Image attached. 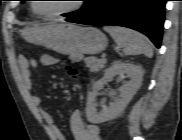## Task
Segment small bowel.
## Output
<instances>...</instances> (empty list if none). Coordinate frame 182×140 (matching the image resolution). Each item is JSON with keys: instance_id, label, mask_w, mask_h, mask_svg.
Segmentation results:
<instances>
[{"instance_id": "1", "label": "small bowel", "mask_w": 182, "mask_h": 140, "mask_svg": "<svg viewBox=\"0 0 182 140\" xmlns=\"http://www.w3.org/2000/svg\"><path fill=\"white\" fill-rule=\"evenodd\" d=\"M59 60L49 54H43L36 59H27L25 56L18 57V68L24 83V86L31 90L33 87L32 70L37 69L39 64L44 66L56 65ZM35 105L41 104V98L37 95L32 97ZM41 117L49 130L52 140H66L62 132L55 124L54 117L46 110H40ZM70 129L75 140H101L99 128L94 124H85L82 114L79 110L72 112L70 119Z\"/></svg>"}]
</instances>
